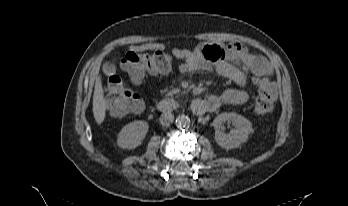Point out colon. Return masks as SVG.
I'll return each instance as SVG.
<instances>
[{
	"instance_id": "5ec220e1",
	"label": "colon",
	"mask_w": 348,
	"mask_h": 206,
	"mask_svg": "<svg viewBox=\"0 0 348 206\" xmlns=\"http://www.w3.org/2000/svg\"><path fill=\"white\" fill-rule=\"evenodd\" d=\"M172 58L169 53L156 50H133L125 54L121 60L122 68L135 82H140L146 73L161 75L169 72ZM105 104L116 115L135 113L141 110V100L127 87L116 73L115 67L106 68ZM258 96L254 106L257 116L270 113L275 105V87L273 82L262 76H255Z\"/></svg>"
}]
</instances>
